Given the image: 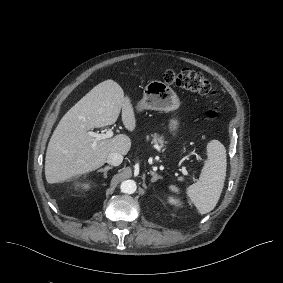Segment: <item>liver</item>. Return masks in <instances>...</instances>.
Segmentation results:
<instances>
[{
    "instance_id": "1",
    "label": "liver",
    "mask_w": 283,
    "mask_h": 283,
    "mask_svg": "<svg viewBox=\"0 0 283 283\" xmlns=\"http://www.w3.org/2000/svg\"><path fill=\"white\" fill-rule=\"evenodd\" d=\"M122 109V122L134 128V116L121 87L106 80L84 95L60 120L48 144L45 176L48 183L94 170L106 162L110 153L126 155L130 139L118 135L93 145L90 131L113 125Z\"/></svg>"
}]
</instances>
